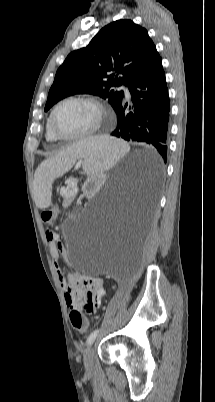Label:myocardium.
Masks as SVG:
<instances>
[{
    "instance_id": "1",
    "label": "myocardium",
    "mask_w": 215,
    "mask_h": 402,
    "mask_svg": "<svg viewBox=\"0 0 215 402\" xmlns=\"http://www.w3.org/2000/svg\"><path fill=\"white\" fill-rule=\"evenodd\" d=\"M72 101L86 102V103L93 105L97 111V120H96L95 125L91 129H89L81 134L64 135V134H61L56 129V127L54 125V117H55L57 110L63 104L72 102ZM107 116H108V110H107L106 106L99 99H97L93 96H88V95H73V96H68V97L63 98L52 108L48 121H49L50 130L57 139L64 140V141H78V140H84V139H87V138H90V137L96 135L101 130L103 123H104L105 119L107 118Z\"/></svg>"
}]
</instances>
